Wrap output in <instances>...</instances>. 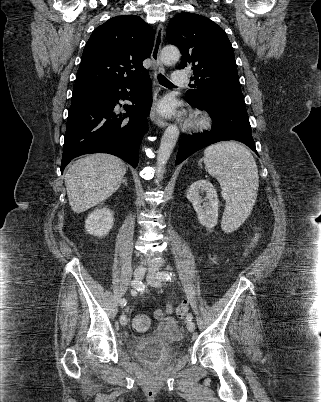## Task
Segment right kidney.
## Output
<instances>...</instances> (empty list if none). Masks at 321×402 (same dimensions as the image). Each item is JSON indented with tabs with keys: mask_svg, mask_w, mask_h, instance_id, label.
Listing matches in <instances>:
<instances>
[{
	"mask_svg": "<svg viewBox=\"0 0 321 402\" xmlns=\"http://www.w3.org/2000/svg\"><path fill=\"white\" fill-rule=\"evenodd\" d=\"M113 221V212L107 208H100L88 215L85 228L89 234L102 237L109 233Z\"/></svg>",
	"mask_w": 321,
	"mask_h": 402,
	"instance_id": "right-kidney-1",
	"label": "right kidney"
}]
</instances>
